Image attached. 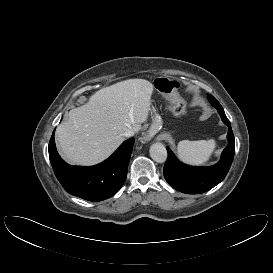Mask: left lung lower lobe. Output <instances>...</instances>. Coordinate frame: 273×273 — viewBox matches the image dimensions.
<instances>
[{"mask_svg":"<svg viewBox=\"0 0 273 273\" xmlns=\"http://www.w3.org/2000/svg\"><path fill=\"white\" fill-rule=\"evenodd\" d=\"M222 121L228 126V145L223 150L218 163L210 167H192L179 162L169 148L168 159L164 165V177L176 190L187 194H199L212 189L226 176L232 164L235 141L231 124L225 115L223 108H216Z\"/></svg>","mask_w":273,"mask_h":273,"instance_id":"0a47b994","label":"left lung lower lobe"}]
</instances>
